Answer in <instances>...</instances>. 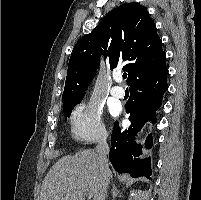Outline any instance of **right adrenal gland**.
<instances>
[{
	"mask_svg": "<svg viewBox=\"0 0 201 200\" xmlns=\"http://www.w3.org/2000/svg\"><path fill=\"white\" fill-rule=\"evenodd\" d=\"M111 193H112V198H113V200H115V198H116L118 195H120V192H119V190L117 189V187H116L115 184H113V186H112Z\"/></svg>",
	"mask_w": 201,
	"mask_h": 200,
	"instance_id": "right-adrenal-gland-1",
	"label": "right adrenal gland"
}]
</instances>
